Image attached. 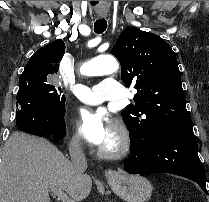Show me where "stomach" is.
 <instances>
[{"label": "stomach", "instance_id": "0dacf381", "mask_svg": "<svg viewBox=\"0 0 209 202\" xmlns=\"http://www.w3.org/2000/svg\"><path fill=\"white\" fill-rule=\"evenodd\" d=\"M108 183L115 194L126 202H146L153 191L150 181L140 175L117 173L108 178Z\"/></svg>", "mask_w": 209, "mask_h": 202}]
</instances>
